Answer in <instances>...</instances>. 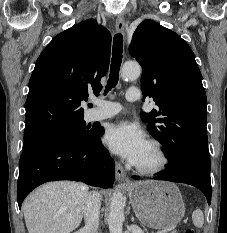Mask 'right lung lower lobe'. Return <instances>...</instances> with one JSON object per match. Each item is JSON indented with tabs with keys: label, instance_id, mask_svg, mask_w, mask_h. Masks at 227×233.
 <instances>
[{
	"label": "right lung lower lobe",
	"instance_id": "right-lung-lower-lobe-1",
	"mask_svg": "<svg viewBox=\"0 0 227 233\" xmlns=\"http://www.w3.org/2000/svg\"><path fill=\"white\" fill-rule=\"evenodd\" d=\"M101 127L82 140H54L24 149L19 162L18 205L37 186L56 180L83 181L110 188L114 183L115 163L100 137Z\"/></svg>",
	"mask_w": 227,
	"mask_h": 233
}]
</instances>
